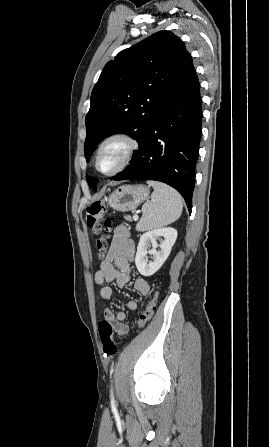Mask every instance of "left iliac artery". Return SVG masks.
Here are the masks:
<instances>
[{
  "label": "left iliac artery",
  "instance_id": "obj_1",
  "mask_svg": "<svg viewBox=\"0 0 269 447\" xmlns=\"http://www.w3.org/2000/svg\"><path fill=\"white\" fill-rule=\"evenodd\" d=\"M111 406L114 407L115 406V401H114V397L113 394L111 395Z\"/></svg>",
  "mask_w": 269,
  "mask_h": 447
}]
</instances>
